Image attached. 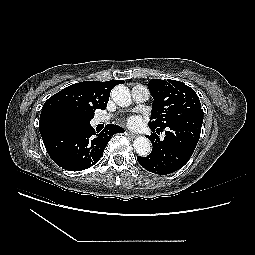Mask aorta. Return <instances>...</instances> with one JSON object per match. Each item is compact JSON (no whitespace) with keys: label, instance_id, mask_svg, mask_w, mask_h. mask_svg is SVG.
<instances>
[{"label":"aorta","instance_id":"obj_1","mask_svg":"<svg viewBox=\"0 0 255 255\" xmlns=\"http://www.w3.org/2000/svg\"><path fill=\"white\" fill-rule=\"evenodd\" d=\"M111 97L113 101L121 106L127 107L131 104V95L129 89L124 85H117L112 89ZM135 151L140 156H147L151 152V144L148 138L139 136L133 142Z\"/></svg>","mask_w":255,"mask_h":255}]
</instances>
